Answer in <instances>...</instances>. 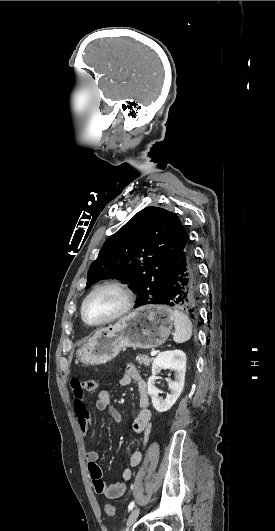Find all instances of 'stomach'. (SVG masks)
Instances as JSON below:
<instances>
[{
    "label": "stomach",
    "instance_id": "stomach-1",
    "mask_svg": "<svg viewBox=\"0 0 275 531\" xmlns=\"http://www.w3.org/2000/svg\"><path fill=\"white\" fill-rule=\"evenodd\" d=\"M169 301H142L141 307L115 325L99 329L76 353L83 365H104L125 347L155 349L167 341L173 327Z\"/></svg>",
    "mask_w": 275,
    "mask_h": 531
}]
</instances>
